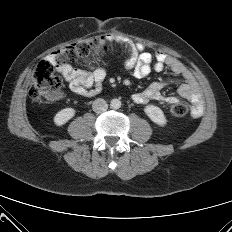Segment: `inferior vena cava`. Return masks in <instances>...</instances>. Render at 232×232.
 Masks as SVG:
<instances>
[{"label": "inferior vena cava", "mask_w": 232, "mask_h": 232, "mask_svg": "<svg viewBox=\"0 0 232 232\" xmlns=\"http://www.w3.org/2000/svg\"><path fill=\"white\" fill-rule=\"evenodd\" d=\"M92 108L94 112L100 114V113L105 112L108 109V104L104 99L98 98L94 100L92 104Z\"/></svg>", "instance_id": "602c4592"}]
</instances>
